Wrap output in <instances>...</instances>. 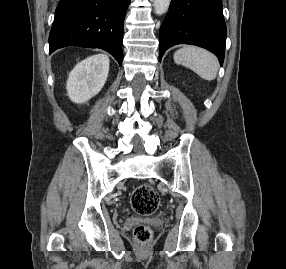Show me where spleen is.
Here are the masks:
<instances>
[{"label":"spleen","mask_w":286,"mask_h":269,"mask_svg":"<svg viewBox=\"0 0 286 269\" xmlns=\"http://www.w3.org/2000/svg\"><path fill=\"white\" fill-rule=\"evenodd\" d=\"M174 61L178 65L191 69L204 80L211 81L216 78L218 60L205 49L185 46L174 53Z\"/></svg>","instance_id":"obj_1"}]
</instances>
